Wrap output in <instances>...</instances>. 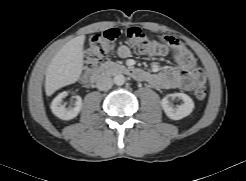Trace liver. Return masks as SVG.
<instances>
[{
	"instance_id": "liver-1",
	"label": "liver",
	"mask_w": 246,
	"mask_h": 181,
	"mask_svg": "<svg viewBox=\"0 0 246 181\" xmlns=\"http://www.w3.org/2000/svg\"><path fill=\"white\" fill-rule=\"evenodd\" d=\"M85 36L68 41L53 57L45 79V92L51 96L60 88L75 83L83 69V45Z\"/></svg>"
}]
</instances>
